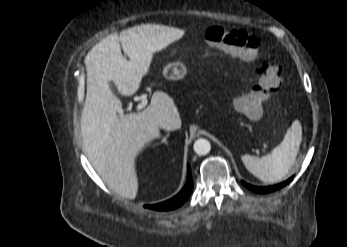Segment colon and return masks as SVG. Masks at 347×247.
Masks as SVG:
<instances>
[{"label":"colon","mask_w":347,"mask_h":247,"mask_svg":"<svg viewBox=\"0 0 347 247\" xmlns=\"http://www.w3.org/2000/svg\"><path fill=\"white\" fill-rule=\"evenodd\" d=\"M201 36L206 44L217 50L235 55L242 60L252 61L257 58L260 39L242 29L209 26L203 29ZM260 74L257 88L249 87L237 100V106L245 115L257 118L262 112L265 93H275L282 85L281 70L262 59L258 66Z\"/></svg>","instance_id":"obj_1"}]
</instances>
